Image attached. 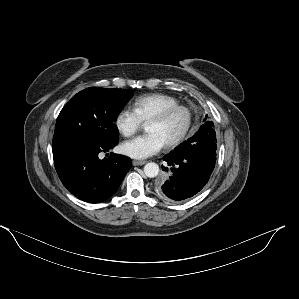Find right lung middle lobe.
<instances>
[{"label": "right lung middle lobe", "instance_id": "obj_1", "mask_svg": "<svg viewBox=\"0 0 299 299\" xmlns=\"http://www.w3.org/2000/svg\"><path fill=\"white\" fill-rule=\"evenodd\" d=\"M131 96L130 90L117 88L90 87L80 91L61 110L52 146L74 141L118 143L115 121Z\"/></svg>", "mask_w": 299, "mask_h": 299}]
</instances>
